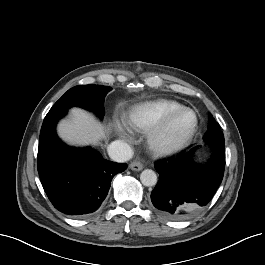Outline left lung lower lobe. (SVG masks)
I'll return each instance as SVG.
<instances>
[{
    "label": "left lung lower lobe",
    "instance_id": "0a47b994",
    "mask_svg": "<svg viewBox=\"0 0 265 265\" xmlns=\"http://www.w3.org/2000/svg\"><path fill=\"white\" fill-rule=\"evenodd\" d=\"M213 149L205 165L192 161L197 147L176 160L155 165L159 181L151 193L157 212L170 220H185L203 210L220 186L225 168V143L218 139L207 140Z\"/></svg>",
    "mask_w": 265,
    "mask_h": 265
}]
</instances>
